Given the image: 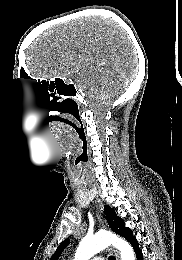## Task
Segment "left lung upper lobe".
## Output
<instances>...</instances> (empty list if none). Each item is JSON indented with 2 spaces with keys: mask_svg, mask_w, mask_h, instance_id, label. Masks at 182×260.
<instances>
[{
  "mask_svg": "<svg viewBox=\"0 0 182 260\" xmlns=\"http://www.w3.org/2000/svg\"><path fill=\"white\" fill-rule=\"evenodd\" d=\"M104 211L110 228L117 234L125 237V235L130 231V228L125 227L123 219L118 217L116 215V212L108 205L104 206ZM69 241V239H65L64 241H62L50 260H58L63 250L69 244Z\"/></svg>",
  "mask_w": 182,
  "mask_h": 260,
  "instance_id": "left-lung-upper-lobe-1",
  "label": "left lung upper lobe"
}]
</instances>
